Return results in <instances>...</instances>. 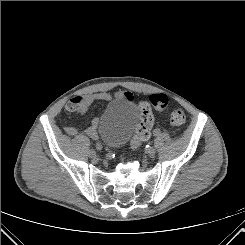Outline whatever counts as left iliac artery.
<instances>
[{
    "label": "left iliac artery",
    "mask_w": 245,
    "mask_h": 245,
    "mask_svg": "<svg viewBox=\"0 0 245 245\" xmlns=\"http://www.w3.org/2000/svg\"><path fill=\"white\" fill-rule=\"evenodd\" d=\"M154 135L155 136H161L162 135V128L161 127H156L154 130Z\"/></svg>",
    "instance_id": "left-iliac-artery-1"
}]
</instances>
